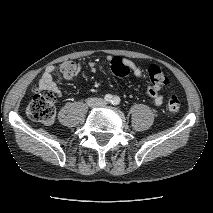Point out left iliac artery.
Segmentation results:
<instances>
[{
	"instance_id": "left-iliac-artery-1",
	"label": "left iliac artery",
	"mask_w": 213,
	"mask_h": 213,
	"mask_svg": "<svg viewBox=\"0 0 213 213\" xmlns=\"http://www.w3.org/2000/svg\"><path fill=\"white\" fill-rule=\"evenodd\" d=\"M120 103V98L118 96H115L112 100L113 105H118Z\"/></svg>"
}]
</instances>
